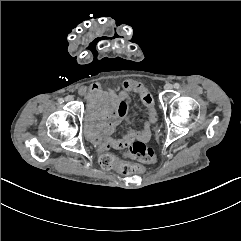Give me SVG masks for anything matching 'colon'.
Returning a JSON list of instances; mask_svg holds the SVG:
<instances>
[{"label": "colon", "instance_id": "5ec220e1", "mask_svg": "<svg viewBox=\"0 0 241 241\" xmlns=\"http://www.w3.org/2000/svg\"><path fill=\"white\" fill-rule=\"evenodd\" d=\"M126 154L133 158H139L146 162H154L157 159L155 151L149 146L145 145L142 142H135L127 148ZM101 159L98 161L99 165L104 168L106 171L108 169H116V170H132L133 168L119 160L117 157L103 153L100 155ZM136 172H143L145 169L143 167H136L134 169Z\"/></svg>", "mask_w": 241, "mask_h": 241}]
</instances>
